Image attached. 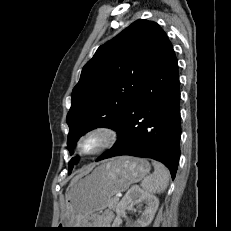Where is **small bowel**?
<instances>
[{
  "mask_svg": "<svg viewBox=\"0 0 231 231\" xmlns=\"http://www.w3.org/2000/svg\"><path fill=\"white\" fill-rule=\"evenodd\" d=\"M113 219V213L111 211H105L102 213L100 220L103 223H109Z\"/></svg>",
  "mask_w": 231,
  "mask_h": 231,
  "instance_id": "1",
  "label": "small bowel"
}]
</instances>
